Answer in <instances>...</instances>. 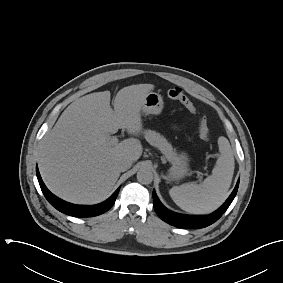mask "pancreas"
<instances>
[{
	"instance_id": "1",
	"label": "pancreas",
	"mask_w": 283,
	"mask_h": 283,
	"mask_svg": "<svg viewBox=\"0 0 283 283\" xmlns=\"http://www.w3.org/2000/svg\"><path fill=\"white\" fill-rule=\"evenodd\" d=\"M144 136L150 145L157 147L161 151L165 159L171 162L176 159V152L172 145L162 135H160V133L152 130H146L144 132Z\"/></svg>"
}]
</instances>
